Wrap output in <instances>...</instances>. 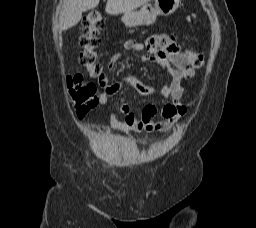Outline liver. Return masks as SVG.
<instances>
[{
  "label": "liver",
  "mask_w": 256,
  "mask_h": 228,
  "mask_svg": "<svg viewBox=\"0 0 256 228\" xmlns=\"http://www.w3.org/2000/svg\"><path fill=\"white\" fill-rule=\"evenodd\" d=\"M100 0H65V10L61 16V28L67 30L79 23L82 13L98 6ZM150 0H108L105 11L118 15L136 9Z\"/></svg>",
  "instance_id": "obj_1"
}]
</instances>
